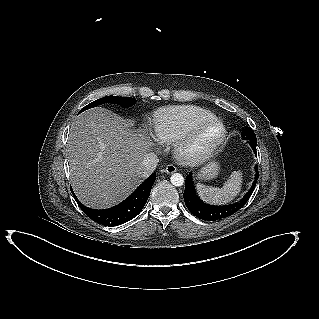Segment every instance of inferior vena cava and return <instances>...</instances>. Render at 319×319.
I'll use <instances>...</instances> for the list:
<instances>
[{"label": "inferior vena cava", "instance_id": "602c4592", "mask_svg": "<svg viewBox=\"0 0 319 319\" xmlns=\"http://www.w3.org/2000/svg\"><path fill=\"white\" fill-rule=\"evenodd\" d=\"M159 159L154 153H147L141 163V169L146 174H151L157 167Z\"/></svg>", "mask_w": 319, "mask_h": 319}]
</instances>
